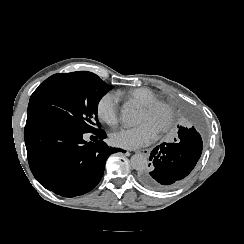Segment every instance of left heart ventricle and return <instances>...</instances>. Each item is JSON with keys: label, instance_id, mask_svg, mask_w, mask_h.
Returning <instances> with one entry per match:
<instances>
[{"label": "left heart ventricle", "instance_id": "1", "mask_svg": "<svg viewBox=\"0 0 244 244\" xmlns=\"http://www.w3.org/2000/svg\"><path fill=\"white\" fill-rule=\"evenodd\" d=\"M137 120L141 124H150L158 133H161L170 122L168 112L164 108L146 111L140 107Z\"/></svg>", "mask_w": 244, "mask_h": 244}]
</instances>
